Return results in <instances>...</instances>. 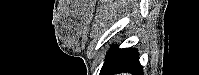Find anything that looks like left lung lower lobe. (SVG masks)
I'll use <instances>...</instances> for the list:
<instances>
[{
	"label": "left lung lower lobe",
	"mask_w": 199,
	"mask_h": 75,
	"mask_svg": "<svg viewBox=\"0 0 199 75\" xmlns=\"http://www.w3.org/2000/svg\"><path fill=\"white\" fill-rule=\"evenodd\" d=\"M129 72L135 75H143L139 62V54L134 48L118 49L112 47L106 56L100 75H112Z\"/></svg>",
	"instance_id": "1"
}]
</instances>
